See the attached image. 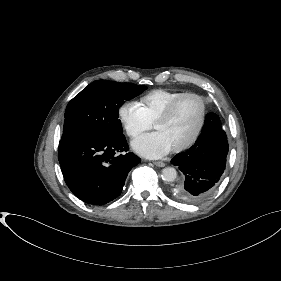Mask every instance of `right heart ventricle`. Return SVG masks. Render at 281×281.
<instances>
[{"label": "right heart ventricle", "instance_id": "1", "mask_svg": "<svg viewBox=\"0 0 281 281\" xmlns=\"http://www.w3.org/2000/svg\"><path fill=\"white\" fill-rule=\"evenodd\" d=\"M184 92L155 89L147 92L138 101L147 119L152 123L156 116L174 99Z\"/></svg>", "mask_w": 281, "mask_h": 281}]
</instances>
